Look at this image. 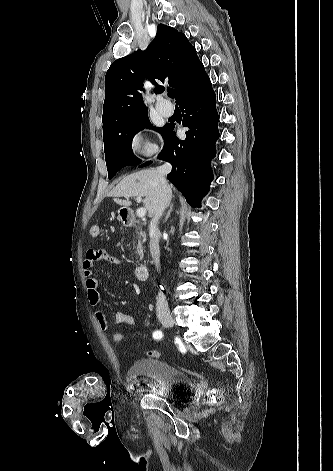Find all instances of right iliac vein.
<instances>
[{
    "label": "right iliac vein",
    "mask_w": 333,
    "mask_h": 471,
    "mask_svg": "<svg viewBox=\"0 0 333 471\" xmlns=\"http://www.w3.org/2000/svg\"><path fill=\"white\" fill-rule=\"evenodd\" d=\"M160 322L166 327H172L175 324L173 317L170 314H164L159 317Z\"/></svg>",
    "instance_id": "right-iliac-vein-1"
}]
</instances>
